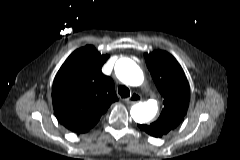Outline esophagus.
I'll return each instance as SVG.
<instances>
[{
	"instance_id": "obj_1",
	"label": "esophagus",
	"mask_w": 240,
	"mask_h": 160,
	"mask_svg": "<svg viewBox=\"0 0 240 160\" xmlns=\"http://www.w3.org/2000/svg\"><path fill=\"white\" fill-rule=\"evenodd\" d=\"M141 101V95L137 92H133L131 96L125 99V102L128 104H135Z\"/></svg>"
}]
</instances>
